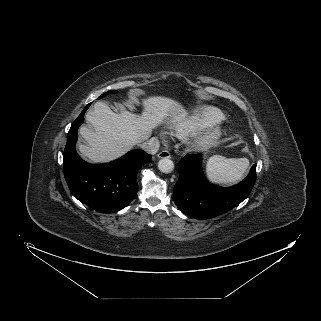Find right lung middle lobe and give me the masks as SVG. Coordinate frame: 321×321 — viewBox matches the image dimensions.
Wrapping results in <instances>:
<instances>
[{"instance_id":"dd1d6c3e","label":"right lung middle lobe","mask_w":321,"mask_h":321,"mask_svg":"<svg viewBox=\"0 0 321 321\" xmlns=\"http://www.w3.org/2000/svg\"><path fill=\"white\" fill-rule=\"evenodd\" d=\"M110 93H117V91H116V90H110V91L102 94L99 98H102V97H104V96H106L107 94H110ZM99 98H98V99H99Z\"/></svg>"}]
</instances>
